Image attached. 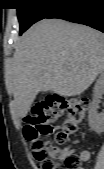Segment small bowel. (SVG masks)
<instances>
[{
  "instance_id": "1",
  "label": "small bowel",
  "mask_w": 104,
  "mask_h": 169,
  "mask_svg": "<svg viewBox=\"0 0 104 169\" xmlns=\"http://www.w3.org/2000/svg\"><path fill=\"white\" fill-rule=\"evenodd\" d=\"M77 142H78V141H75V143H77ZM68 153H69V146H66L65 148H63L62 150H60V155H59V157H60L61 159H63L64 156H65L66 154H68ZM79 156H80L82 162H87V161L90 159L91 154H90V152L87 151V150H82V151H80ZM80 169H84V168H83V167H80Z\"/></svg>"
}]
</instances>
